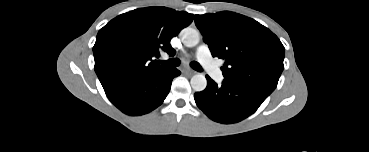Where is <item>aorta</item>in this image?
I'll list each match as a JSON object with an SVG mask.
<instances>
[{
  "mask_svg": "<svg viewBox=\"0 0 369 152\" xmlns=\"http://www.w3.org/2000/svg\"><path fill=\"white\" fill-rule=\"evenodd\" d=\"M182 42L187 47H194L200 41V33L193 28H184L181 31ZM191 87L193 90L200 92L203 91L207 86V80L203 74H196L191 78Z\"/></svg>",
  "mask_w": 369,
  "mask_h": 152,
  "instance_id": "aorta-1",
  "label": "aorta"
}]
</instances>
